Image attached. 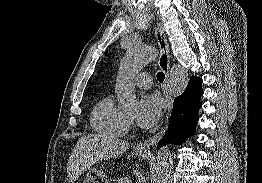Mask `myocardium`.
I'll use <instances>...</instances> for the list:
<instances>
[{
    "label": "myocardium",
    "instance_id": "myocardium-1",
    "mask_svg": "<svg viewBox=\"0 0 262 183\" xmlns=\"http://www.w3.org/2000/svg\"><path fill=\"white\" fill-rule=\"evenodd\" d=\"M130 123L132 122V119L131 118H129V120H128Z\"/></svg>",
    "mask_w": 262,
    "mask_h": 183
}]
</instances>
